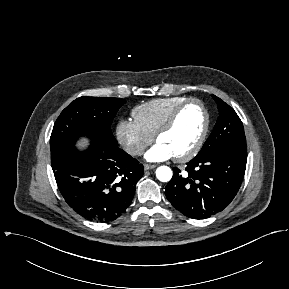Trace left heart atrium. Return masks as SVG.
Returning a JSON list of instances; mask_svg holds the SVG:
<instances>
[{"instance_id":"obj_1","label":"left heart atrium","mask_w":289,"mask_h":289,"mask_svg":"<svg viewBox=\"0 0 289 289\" xmlns=\"http://www.w3.org/2000/svg\"><path fill=\"white\" fill-rule=\"evenodd\" d=\"M172 157L173 153L161 143L155 144L145 153V159L150 162H161Z\"/></svg>"}]
</instances>
